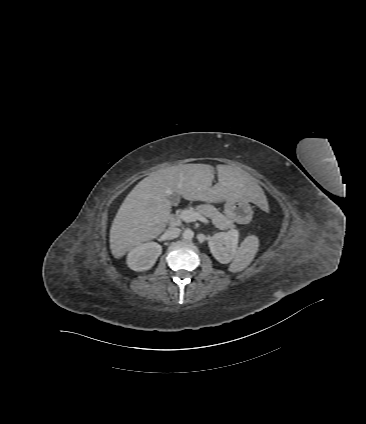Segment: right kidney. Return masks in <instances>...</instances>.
<instances>
[{"instance_id": "right-kidney-1", "label": "right kidney", "mask_w": 366, "mask_h": 424, "mask_svg": "<svg viewBox=\"0 0 366 424\" xmlns=\"http://www.w3.org/2000/svg\"><path fill=\"white\" fill-rule=\"evenodd\" d=\"M162 253V247L155 242H147L132 249L127 256V265L134 271L152 268Z\"/></svg>"}]
</instances>
